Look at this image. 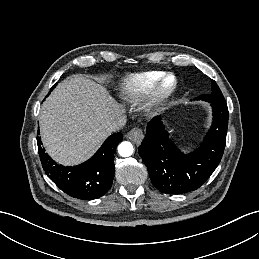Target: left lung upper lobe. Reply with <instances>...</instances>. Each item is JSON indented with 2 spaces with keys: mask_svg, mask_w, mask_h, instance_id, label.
Returning <instances> with one entry per match:
<instances>
[{
  "mask_svg": "<svg viewBox=\"0 0 259 259\" xmlns=\"http://www.w3.org/2000/svg\"><path fill=\"white\" fill-rule=\"evenodd\" d=\"M199 99L205 100L210 103L225 102L224 96L214 80H212V93L201 95Z\"/></svg>",
  "mask_w": 259,
  "mask_h": 259,
  "instance_id": "obj_1",
  "label": "left lung upper lobe"
}]
</instances>
